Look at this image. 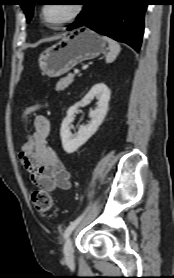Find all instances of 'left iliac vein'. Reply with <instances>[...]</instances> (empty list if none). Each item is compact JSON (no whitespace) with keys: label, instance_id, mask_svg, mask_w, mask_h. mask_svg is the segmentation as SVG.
<instances>
[{"label":"left iliac vein","instance_id":"1","mask_svg":"<svg viewBox=\"0 0 174 278\" xmlns=\"http://www.w3.org/2000/svg\"><path fill=\"white\" fill-rule=\"evenodd\" d=\"M64 255H65V261L68 265L73 264L74 262V248L72 239L68 237L64 244Z\"/></svg>","mask_w":174,"mask_h":278}]
</instances>
